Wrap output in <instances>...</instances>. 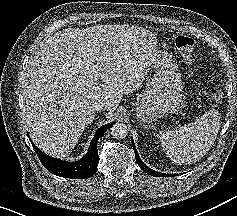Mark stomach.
Segmentation results:
<instances>
[{
	"mask_svg": "<svg viewBox=\"0 0 237 216\" xmlns=\"http://www.w3.org/2000/svg\"><path fill=\"white\" fill-rule=\"evenodd\" d=\"M168 64L164 74L152 79L136 109L140 122L149 124L170 113H174L182 100V86L178 73Z\"/></svg>",
	"mask_w": 237,
	"mask_h": 216,
	"instance_id": "stomach-1",
	"label": "stomach"
}]
</instances>
